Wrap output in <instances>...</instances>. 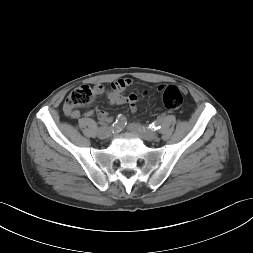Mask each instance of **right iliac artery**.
<instances>
[{"label":"right iliac artery","instance_id":"right-iliac-artery-1","mask_svg":"<svg viewBox=\"0 0 253 253\" xmlns=\"http://www.w3.org/2000/svg\"><path fill=\"white\" fill-rule=\"evenodd\" d=\"M101 124L104 125L105 123L101 122ZM126 124H127L126 117L123 115H118L115 122L113 123V127L117 130H120L124 128Z\"/></svg>","mask_w":253,"mask_h":253}]
</instances>
